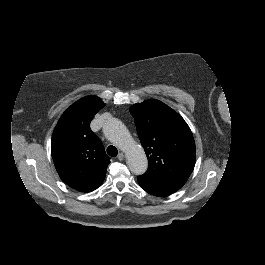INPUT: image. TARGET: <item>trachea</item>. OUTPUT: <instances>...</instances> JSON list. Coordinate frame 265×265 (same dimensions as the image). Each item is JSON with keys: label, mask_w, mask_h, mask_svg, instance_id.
Masks as SVG:
<instances>
[{"label": "trachea", "mask_w": 265, "mask_h": 265, "mask_svg": "<svg viewBox=\"0 0 265 265\" xmlns=\"http://www.w3.org/2000/svg\"><path fill=\"white\" fill-rule=\"evenodd\" d=\"M107 154L109 156L115 157L118 154V150H117V148L115 146L110 145V146L107 147Z\"/></svg>", "instance_id": "1"}]
</instances>
